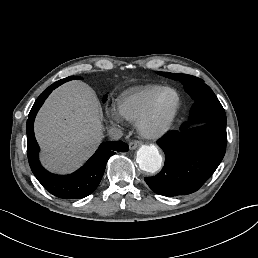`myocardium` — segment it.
Segmentation results:
<instances>
[{"instance_id":"1","label":"myocardium","mask_w":258,"mask_h":258,"mask_svg":"<svg viewBox=\"0 0 258 258\" xmlns=\"http://www.w3.org/2000/svg\"><path fill=\"white\" fill-rule=\"evenodd\" d=\"M164 93H172L173 94V96H174L173 110H172L170 116L168 117V119L165 121V123L163 124V126L161 127V129L158 132L153 133V134L147 133L143 129V123L147 118H149L154 113L156 103H157L159 97ZM179 106H180V98H179L178 93L173 88H170V87L160 88L156 92V94L153 96V98L150 101V103L148 104L147 108L139 115V117L136 120V126H137V130H138V133L140 134V136L145 139H150V140H157V139L164 137L171 130V128L173 126V123L176 119V116H177V113L179 110Z\"/></svg>"}]
</instances>
